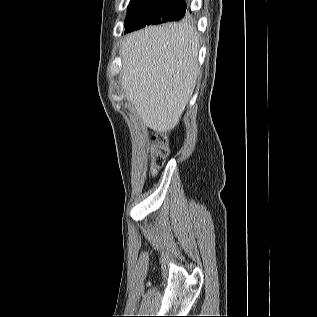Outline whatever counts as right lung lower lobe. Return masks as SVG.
Segmentation results:
<instances>
[{
	"label": "right lung lower lobe",
	"instance_id": "98d812e1",
	"mask_svg": "<svg viewBox=\"0 0 317 317\" xmlns=\"http://www.w3.org/2000/svg\"><path fill=\"white\" fill-rule=\"evenodd\" d=\"M181 4L185 5V11H186V8H187V5H186V2L184 0H180Z\"/></svg>",
	"mask_w": 317,
	"mask_h": 317
}]
</instances>
